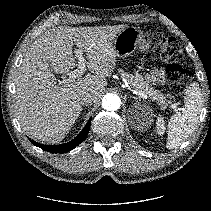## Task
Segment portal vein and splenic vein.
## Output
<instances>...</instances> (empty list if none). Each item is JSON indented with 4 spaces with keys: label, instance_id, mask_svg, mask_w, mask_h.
<instances>
[{
    "label": "portal vein and splenic vein",
    "instance_id": "obj_1",
    "mask_svg": "<svg viewBox=\"0 0 211 211\" xmlns=\"http://www.w3.org/2000/svg\"><path fill=\"white\" fill-rule=\"evenodd\" d=\"M75 56L78 58V69L70 72L69 75V79L73 80L76 79L78 76H81L84 72H85V68H86V60L83 57V53L81 50H77L75 52ZM132 92L138 96H140L141 98H147V95L145 93H143L142 91H138V90H132ZM173 109H178L176 104L172 105Z\"/></svg>",
    "mask_w": 211,
    "mask_h": 211
}]
</instances>
